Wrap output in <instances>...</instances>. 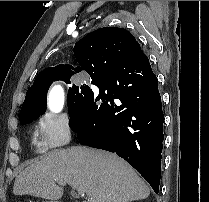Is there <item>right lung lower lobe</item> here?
<instances>
[{
	"mask_svg": "<svg viewBox=\"0 0 209 202\" xmlns=\"http://www.w3.org/2000/svg\"><path fill=\"white\" fill-rule=\"evenodd\" d=\"M136 63L140 70L130 68L125 81L116 76L96 81L99 95L87 99L69 126L81 143L124 158L158 194L164 139L161 96L147 56Z\"/></svg>",
	"mask_w": 209,
	"mask_h": 202,
	"instance_id": "1",
	"label": "right lung lower lobe"
}]
</instances>
